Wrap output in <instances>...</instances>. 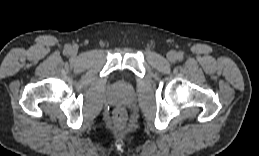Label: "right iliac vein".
Masks as SVG:
<instances>
[{
    "instance_id": "right-iliac-vein-1",
    "label": "right iliac vein",
    "mask_w": 259,
    "mask_h": 156,
    "mask_svg": "<svg viewBox=\"0 0 259 156\" xmlns=\"http://www.w3.org/2000/svg\"><path fill=\"white\" fill-rule=\"evenodd\" d=\"M70 53H71V55H76L77 51H76V49L72 48V49L70 50Z\"/></svg>"
}]
</instances>
